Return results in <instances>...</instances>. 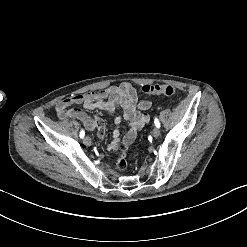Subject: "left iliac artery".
Here are the masks:
<instances>
[{"label": "left iliac artery", "mask_w": 247, "mask_h": 247, "mask_svg": "<svg viewBox=\"0 0 247 247\" xmlns=\"http://www.w3.org/2000/svg\"><path fill=\"white\" fill-rule=\"evenodd\" d=\"M154 123H155V126L156 127H158V128L160 127V123H159V121H158L157 118H155Z\"/></svg>", "instance_id": "44dca946"}]
</instances>
